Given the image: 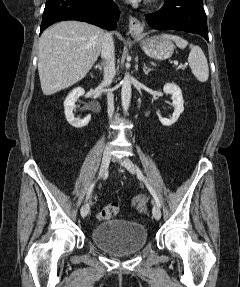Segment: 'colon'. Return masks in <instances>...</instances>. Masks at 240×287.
Listing matches in <instances>:
<instances>
[{"label": "colon", "mask_w": 240, "mask_h": 287, "mask_svg": "<svg viewBox=\"0 0 240 287\" xmlns=\"http://www.w3.org/2000/svg\"><path fill=\"white\" fill-rule=\"evenodd\" d=\"M118 212H119V204L110 203L97 214V219L99 221L109 220L114 216H116Z\"/></svg>", "instance_id": "obj_1"}]
</instances>
